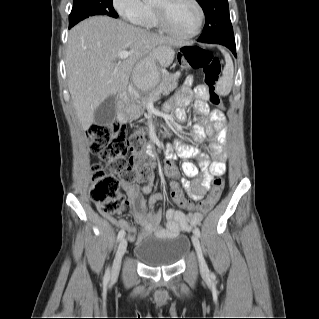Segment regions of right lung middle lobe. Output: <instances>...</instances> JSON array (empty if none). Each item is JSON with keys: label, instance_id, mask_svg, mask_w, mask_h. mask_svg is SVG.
<instances>
[{"label": "right lung middle lobe", "instance_id": "right-lung-middle-lobe-1", "mask_svg": "<svg viewBox=\"0 0 319 319\" xmlns=\"http://www.w3.org/2000/svg\"><path fill=\"white\" fill-rule=\"evenodd\" d=\"M94 15H108L117 18L118 15L113 8V0H74L69 15V28Z\"/></svg>", "mask_w": 319, "mask_h": 319}]
</instances>
